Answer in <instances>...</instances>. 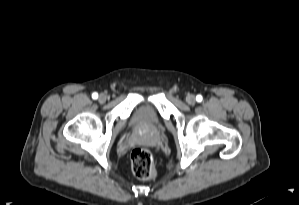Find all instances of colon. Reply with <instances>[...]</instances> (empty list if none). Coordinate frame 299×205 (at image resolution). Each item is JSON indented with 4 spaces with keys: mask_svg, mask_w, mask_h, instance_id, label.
<instances>
[{
    "mask_svg": "<svg viewBox=\"0 0 299 205\" xmlns=\"http://www.w3.org/2000/svg\"><path fill=\"white\" fill-rule=\"evenodd\" d=\"M134 175L141 180H152L156 177L151 153L144 148H136L130 155Z\"/></svg>",
    "mask_w": 299,
    "mask_h": 205,
    "instance_id": "obj_1",
    "label": "colon"
}]
</instances>
